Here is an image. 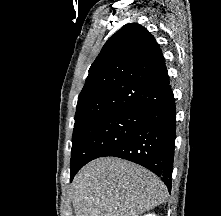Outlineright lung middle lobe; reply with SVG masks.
<instances>
[{
	"instance_id": "right-lung-middle-lobe-1",
	"label": "right lung middle lobe",
	"mask_w": 221,
	"mask_h": 216,
	"mask_svg": "<svg viewBox=\"0 0 221 216\" xmlns=\"http://www.w3.org/2000/svg\"><path fill=\"white\" fill-rule=\"evenodd\" d=\"M145 112L120 110L74 125L71 168L104 156L131 137L142 124Z\"/></svg>"
}]
</instances>
